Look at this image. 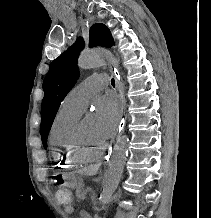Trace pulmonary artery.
<instances>
[{"instance_id": "obj_1", "label": "pulmonary artery", "mask_w": 211, "mask_h": 218, "mask_svg": "<svg viewBox=\"0 0 211 218\" xmlns=\"http://www.w3.org/2000/svg\"><path fill=\"white\" fill-rule=\"evenodd\" d=\"M104 78L105 75H92L86 80H83V83L74 87L66 95L63 101V105L82 113L92 95L95 94L97 91H104V87H108V80L90 79Z\"/></svg>"}]
</instances>
